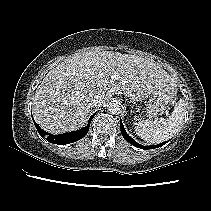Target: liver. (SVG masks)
<instances>
[{"mask_svg": "<svg viewBox=\"0 0 211 211\" xmlns=\"http://www.w3.org/2000/svg\"><path fill=\"white\" fill-rule=\"evenodd\" d=\"M118 75V79L112 76ZM174 83L152 60L114 51H90L74 55L50 70L37 87L33 115L50 133H64L82 127L88 120L91 99L104 102L123 92H152Z\"/></svg>", "mask_w": 211, "mask_h": 211, "instance_id": "1", "label": "liver"}]
</instances>
